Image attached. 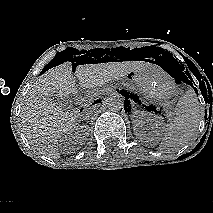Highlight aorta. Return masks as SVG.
Returning <instances> with one entry per match:
<instances>
[{"label":"aorta","mask_w":213,"mask_h":213,"mask_svg":"<svg viewBox=\"0 0 213 213\" xmlns=\"http://www.w3.org/2000/svg\"><path fill=\"white\" fill-rule=\"evenodd\" d=\"M106 106L109 110L118 112L123 108V99L119 94H113L106 98Z\"/></svg>","instance_id":"1"}]
</instances>
